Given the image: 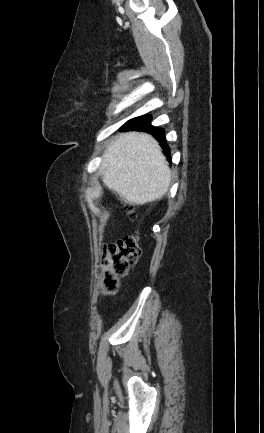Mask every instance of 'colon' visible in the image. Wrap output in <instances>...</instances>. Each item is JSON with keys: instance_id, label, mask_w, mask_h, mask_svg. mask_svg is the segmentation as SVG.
<instances>
[{"instance_id": "5ec220e1", "label": "colon", "mask_w": 264, "mask_h": 433, "mask_svg": "<svg viewBox=\"0 0 264 433\" xmlns=\"http://www.w3.org/2000/svg\"><path fill=\"white\" fill-rule=\"evenodd\" d=\"M128 213L132 219L135 218L133 206H129ZM140 255L141 248L137 234L125 236L104 247L101 264L104 269L103 291L106 294H114L117 291L119 278L129 272Z\"/></svg>"}]
</instances>
